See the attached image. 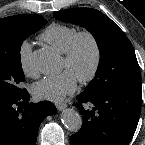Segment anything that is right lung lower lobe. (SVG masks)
Returning a JSON list of instances; mask_svg holds the SVG:
<instances>
[{
    "label": "right lung lower lobe",
    "mask_w": 145,
    "mask_h": 145,
    "mask_svg": "<svg viewBox=\"0 0 145 145\" xmlns=\"http://www.w3.org/2000/svg\"><path fill=\"white\" fill-rule=\"evenodd\" d=\"M27 91L0 97V145H35L40 123L56 113L50 101L30 103Z\"/></svg>",
    "instance_id": "obj_1"
}]
</instances>
